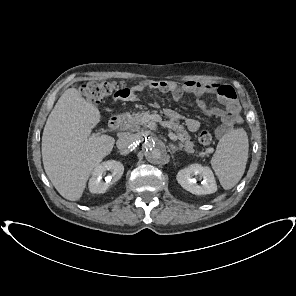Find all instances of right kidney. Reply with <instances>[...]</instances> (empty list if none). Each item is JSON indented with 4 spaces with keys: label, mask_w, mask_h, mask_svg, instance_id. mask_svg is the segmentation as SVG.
<instances>
[{
    "label": "right kidney",
    "mask_w": 296,
    "mask_h": 296,
    "mask_svg": "<svg viewBox=\"0 0 296 296\" xmlns=\"http://www.w3.org/2000/svg\"><path fill=\"white\" fill-rule=\"evenodd\" d=\"M107 171H111L112 175H109L103 181ZM124 172V166L119 161L108 160L97 165L93 172L92 176L89 179L88 187L91 193H105L107 189L117 182Z\"/></svg>",
    "instance_id": "ca27d5eb"
}]
</instances>
